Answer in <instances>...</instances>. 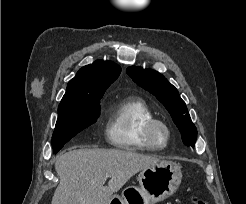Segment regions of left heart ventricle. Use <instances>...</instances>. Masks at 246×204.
Masks as SVG:
<instances>
[{"mask_svg":"<svg viewBox=\"0 0 246 204\" xmlns=\"http://www.w3.org/2000/svg\"><path fill=\"white\" fill-rule=\"evenodd\" d=\"M166 139V133L163 129H159L157 131V140L161 143H163Z\"/></svg>","mask_w":246,"mask_h":204,"instance_id":"obj_1","label":"left heart ventricle"}]
</instances>
